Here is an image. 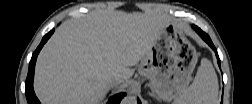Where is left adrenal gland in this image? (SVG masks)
Returning <instances> with one entry per match:
<instances>
[{"instance_id": "1", "label": "left adrenal gland", "mask_w": 252, "mask_h": 104, "mask_svg": "<svg viewBox=\"0 0 252 104\" xmlns=\"http://www.w3.org/2000/svg\"><path fill=\"white\" fill-rule=\"evenodd\" d=\"M149 95L156 98V95L154 94L153 90L149 93Z\"/></svg>"}]
</instances>
